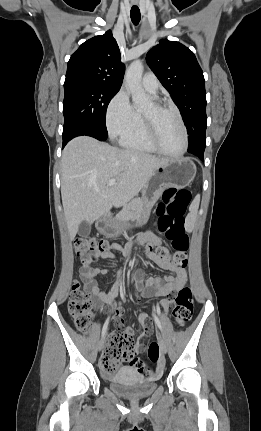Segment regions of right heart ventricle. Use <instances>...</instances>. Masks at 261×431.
<instances>
[{
    "label": "right heart ventricle",
    "mask_w": 261,
    "mask_h": 431,
    "mask_svg": "<svg viewBox=\"0 0 261 431\" xmlns=\"http://www.w3.org/2000/svg\"><path fill=\"white\" fill-rule=\"evenodd\" d=\"M120 144L133 151L152 154L158 153L147 136L140 112H136L133 126L120 137Z\"/></svg>",
    "instance_id": "right-heart-ventricle-1"
}]
</instances>
